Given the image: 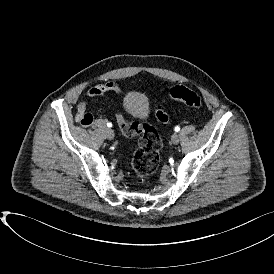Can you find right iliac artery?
<instances>
[{
    "label": "right iliac artery",
    "instance_id": "82829eb1",
    "mask_svg": "<svg viewBox=\"0 0 274 274\" xmlns=\"http://www.w3.org/2000/svg\"><path fill=\"white\" fill-rule=\"evenodd\" d=\"M107 126H108V127H112V123H110V122L107 123Z\"/></svg>",
    "mask_w": 274,
    "mask_h": 274
}]
</instances>
